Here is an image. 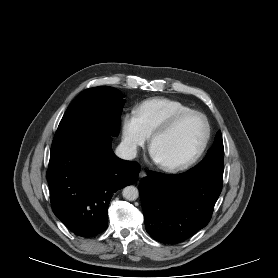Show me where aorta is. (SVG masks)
I'll use <instances>...</instances> for the list:
<instances>
[{
    "label": "aorta",
    "mask_w": 278,
    "mask_h": 278,
    "mask_svg": "<svg viewBox=\"0 0 278 278\" xmlns=\"http://www.w3.org/2000/svg\"><path fill=\"white\" fill-rule=\"evenodd\" d=\"M123 197L128 201H134L139 196V191L135 186H126L122 191Z\"/></svg>",
    "instance_id": "1"
}]
</instances>
